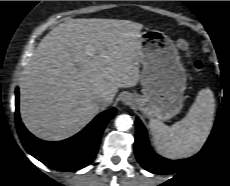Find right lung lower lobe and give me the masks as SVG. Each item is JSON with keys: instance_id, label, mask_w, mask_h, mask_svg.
Here are the masks:
<instances>
[{"instance_id": "98d812e1", "label": "right lung lower lobe", "mask_w": 230, "mask_h": 186, "mask_svg": "<svg viewBox=\"0 0 230 186\" xmlns=\"http://www.w3.org/2000/svg\"><path fill=\"white\" fill-rule=\"evenodd\" d=\"M15 94L16 127L23 146L43 164L59 171L72 172L90 164L97 154L105 126L116 114L115 108L104 111L75 136L63 141L47 142L36 138L24 127L18 112V88Z\"/></svg>"}]
</instances>
